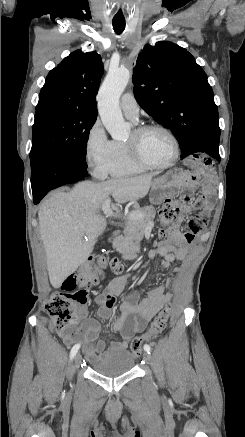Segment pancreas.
I'll use <instances>...</instances> for the list:
<instances>
[{
    "label": "pancreas",
    "instance_id": "pancreas-1",
    "mask_svg": "<svg viewBox=\"0 0 245 437\" xmlns=\"http://www.w3.org/2000/svg\"><path fill=\"white\" fill-rule=\"evenodd\" d=\"M155 217L153 207L135 208L128 214V221L123 226V235L118 236L113 246L119 251H130L137 248L144 235V229Z\"/></svg>",
    "mask_w": 245,
    "mask_h": 437
}]
</instances>
